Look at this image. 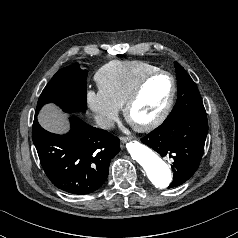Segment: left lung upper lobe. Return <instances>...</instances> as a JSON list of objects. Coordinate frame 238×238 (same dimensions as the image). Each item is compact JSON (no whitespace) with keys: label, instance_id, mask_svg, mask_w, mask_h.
<instances>
[{"label":"left lung upper lobe","instance_id":"1","mask_svg":"<svg viewBox=\"0 0 238 238\" xmlns=\"http://www.w3.org/2000/svg\"><path fill=\"white\" fill-rule=\"evenodd\" d=\"M178 99L170 115L206 113L198 88L189 74L175 62Z\"/></svg>","mask_w":238,"mask_h":238}]
</instances>
